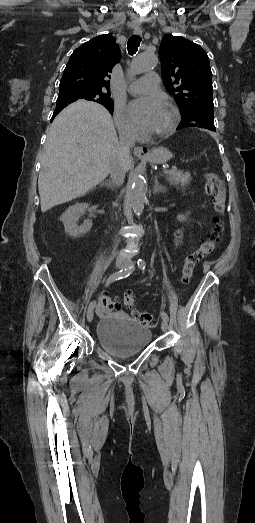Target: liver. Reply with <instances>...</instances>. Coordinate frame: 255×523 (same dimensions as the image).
I'll use <instances>...</instances> for the list:
<instances>
[{
    "mask_svg": "<svg viewBox=\"0 0 255 523\" xmlns=\"http://www.w3.org/2000/svg\"><path fill=\"white\" fill-rule=\"evenodd\" d=\"M119 142L108 110L78 100L56 116L47 132L38 178L41 212L87 194L107 178ZM133 162L126 166L130 170Z\"/></svg>",
    "mask_w": 255,
    "mask_h": 523,
    "instance_id": "6515ba94",
    "label": "liver"
}]
</instances>
